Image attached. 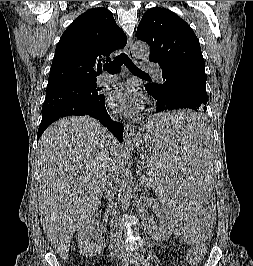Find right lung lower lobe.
Here are the masks:
<instances>
[{"mask_svg": "<svg viewBox=\"0 0 253 266\" xmlns=\"http://www.w3.org/2000/svg\"><path fill=\"white\" fill-rule=\"evenodd\" d=\"M83 115H88V116H91L99 120L105 127H107L113 133V135L118 139L119 142L123 141V131H124L123 124H121L120 122H114L113 120H111L110 116L108 115L106 111L105 99L94 109L80 113L77 116H83ZM50 124L51 123L39 126L37 139L40 138L44 130Z\"/></svg>", "mask_w": 253, "mask_h": 266, "instance_id": "right-lung-lower-lobe-1", "label": "right lung lower lobe"}]
</instances>
